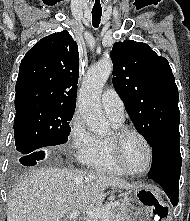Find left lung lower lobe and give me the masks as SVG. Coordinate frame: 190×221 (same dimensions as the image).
I'll return each mask as SVG.
<instances>
[{"label": "left lung lower lobe", "instance_id": "1", "mask_svg": "<svg viewBox=\"0 0 190 221\" xmlns=\"http://www.w3.org/2000/svg\"><path fill=\"white\" fill-rule=\"evenodd\" d=\"M181 164L180 135L166 136L152 146L148 176L162 186L173 206L178 204Z\"/></svg>", "mask_w": 190, "mask_h": 221}]
</instances>
